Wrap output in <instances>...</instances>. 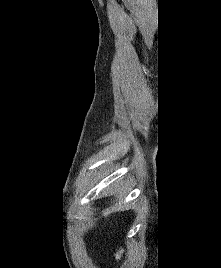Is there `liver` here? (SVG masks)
<instances>
[{
  "label": "liver",
  "mask_w": 221,
  "mask_h": 268,
  "mask_svg": "<svg viewBox=\"0 0 221 268\" xmlns=\"http://www.w3.org/2000/svg\"><path fill=\"white\" fill-rule=\"evenodd\" d=\"M124 188H126V186H118V189H120L121 190V192L119 193V199L121 200V198H122V191H124ZM124 193H125V191H124Z\"/></svg>",
  "instance_id": "liver-1"
}]
</instances>
